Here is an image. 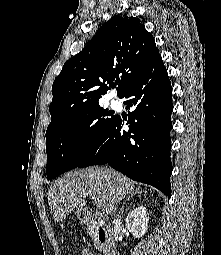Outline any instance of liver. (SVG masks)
Masks as SVG:
<instances>
[{"mask_svg": "<svg viewBox=\"0 0 221 255\" xmlns=\"http://www.w3.org/2000/svg\"><path fill=\"white\" fill-rule=\"evenodd\" d=\"M135 190L134 182L123 174L107 166H93L68 172L50 186L47 196L53 219L60 222L69 213L83 210L88 196H97L111 214L119 201Z\"/></svg>", "mask_w": 221, "mask_h": 255, "instance_id": "6515ba94", "label": "liver"}]
</instances>
